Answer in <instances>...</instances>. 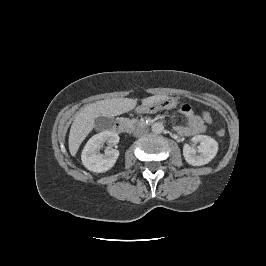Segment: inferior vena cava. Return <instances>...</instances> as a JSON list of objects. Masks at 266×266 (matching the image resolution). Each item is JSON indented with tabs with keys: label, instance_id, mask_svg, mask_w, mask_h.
<instances>
[{
	"label": "inferior vena cava",
	"instance_id": "inferior-vena-cava-1",
	"mask_svg": "<svg viewBox=\"0 0 266 266\" xmlns=\"http://www.w3.org/2000/svg\"><path fill=\"white\" fill-rule=\"evenodd\" d=\"M143 133H145V129L140 128V129H137V130L134 132V135H135V137H139V136L142 135Z\"/></svg>",
	"mask_w": 266,
	"mask_h": 266
}]
</instances>
